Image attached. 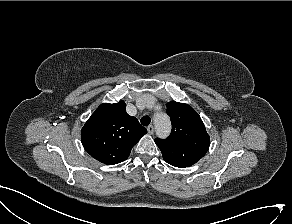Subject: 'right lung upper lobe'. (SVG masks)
Instances as JSON below:
<instances>
[{
  "label": "right lung upper lobe",
  "instance_id": "obj_1",
  "mask_svg": "<svg viewBox=\"0 0 292 224\" xmlns=\"http://www.w3.org/2000/svg\"><path fill=\"white\" fill-rule=\"evenodd\" d=\"M146 133L138 120L127 114L125 102L119 101L97 108L81 130V141L89 155L113 165L126 160Z\"/></svg>",
  "mask_w": 292,
  "mask_h": 224
}]
</instances>
